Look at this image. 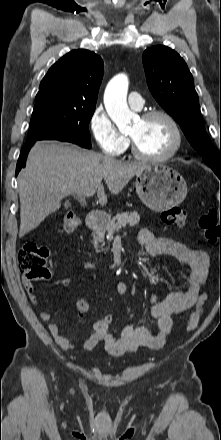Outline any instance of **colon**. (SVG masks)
Wrapping results in <instances>:
<instances>
[{
	"mask_svg": "<svg viewBox=\"0 0 221 440\" xmlns=\"http://www.w3.org/2000/svg\"><path fill=\"white\" fill-rule=\"evenodd\" d=\"M161 220L165 225L178 226L184 225L186 212L179 207L169 208L161 213ZM200 228L204 232L205 240L214 245L221 243V222L211 214L203 216L200 219ZM81 226V218L78 214L68 211L63 217V229L66 232H72ZM49 250L33 241L26 242L18 254V267L29 282L45 280L50 276V270L47 267V258ZM89 303L86 300H79L76 308L79 314L83 315L89 311ZM103 322L112 324L114 322L113 312H104Z\"/></svg>",
	"mask_w": 221,
	"mask_h": 440,
	"instance_id": "1",
	"label": "colon"
}]
</instances>
